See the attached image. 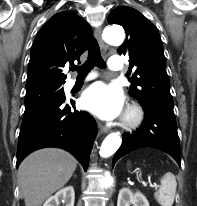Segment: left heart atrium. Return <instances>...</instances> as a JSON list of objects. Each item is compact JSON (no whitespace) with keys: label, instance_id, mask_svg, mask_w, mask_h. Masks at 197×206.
<instances>
[{"label":"left heart atrium","instance_id":"39dd6f15","mask_svg":"<svg viewBox=\"0 0 197 206\" xmlns=\"http://www.w3.org/2000/svg\"><path fill=\"white\" fill-rule=\"evenodd\" d=\"M81 103L84 108L104 119L118 116L123 107L120 89L102 82L91 85L83 94Z\"/></svg>","mask_w":197,"mask_h":206}]
</instances>
